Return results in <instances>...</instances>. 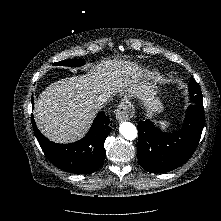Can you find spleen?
<instances>
[{"label": "spleen", "mask_w": 221, "mask_h": 221, "mask_svg": "<svg viewBox=\"0 0 221 221\" xmlns=\"http://www.w3.org/2000/svg\"><path fill=\"white\" fill-rule=\"evenodd\" d=\"M158 124L161 127V129H163V130L171 127L170 123L167 121H164V120L158 121Z\"/></svg>", "instance_id": "spleen-1"}]
</instances>
